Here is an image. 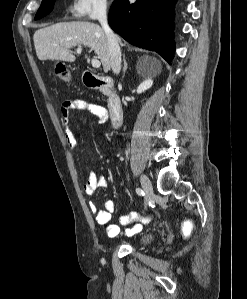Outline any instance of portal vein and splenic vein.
<instances>
[{
  "label": "portal vein and splenic vein",
  "instance_id": "portal-vein-and-splenic-vein-1",
  "mask_svg": "<svg viewBox=\"0 0 247 299\" xmlns=\"http://www.w3.org/2000/svg\"><path fill=\"white\" fill-rule=\"evenodd\" d=\"M76 51H77V53H81V52H82V48H81V47H78ZM91 63H92V66H93L94 68H99V67L101 66L100 61H99L98 59H96V57H93V58L91 59Z\"/></svg>",
  "mask_w": 247,
  "mask_h": 299
}]
</instances>
